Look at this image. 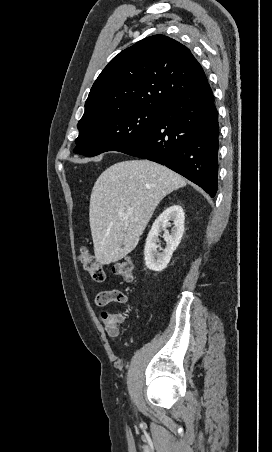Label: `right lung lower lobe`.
<instances>
[{
    "mask_svg": "<svg viewBox=\"0 0 272 452\" xmlns=\"http://www.w3.org/2000/svg\"><path fill=\"white\" fill-rule=\"evenodd\" d=\"M218 113L208 84L164 108L142 136L117 151L167 166L215 197Z\"/></svg>",
    "mask_w": 272,
    "mask_h": 452,
    "instance_id": "right-lung-lower-lobe-1",
    "label": "right lung lower lobe"
}]
</instances>
